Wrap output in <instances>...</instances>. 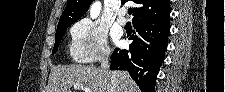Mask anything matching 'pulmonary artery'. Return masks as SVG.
Instances as JSON below:
<instances>
[{"mask_svg": "<svg viewBox=\"0 0 225 92\" xmlns=\"http://www.w3.org/2000/svg\"><path fill=\"white\" fill-rule=\"evenodd\" d=\"M125 14H126V11L125 10L120 11L119 14H118L117 22L121 26H124L127 23V20L125 18Z\"/></svg>", "mask_w": 225, "mask_h": 92, "instance_id": "1", "label": "pulmonary artery"}]
</instances>
